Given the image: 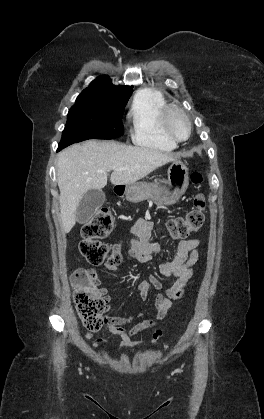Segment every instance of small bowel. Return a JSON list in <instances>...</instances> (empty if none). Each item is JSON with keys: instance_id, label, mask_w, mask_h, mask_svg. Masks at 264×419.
<instances>
[{"instance_id": "c3829d8e", "label": "small bowel", "mask_w": 264, "mask_h": 419, "mask_svg": "<svg viewBox=\"0 0 264 419\" xmlns=\"http://www.w3.org/2000/svg\"><path fill=\"white\" fill-rule=\"evenodd\" d=\"M152 228V221L148 219H139L131 229L132 243L136 244L139 249L136 258L140 262L150 261L155 254L154 249L145 243L152 231ZM200 243L201 240L199 238L180 241L176 246L174 258L169 262L160 264V273L165 277L173 279L172 284L168 288L163 289L161 282L154 275H150L147 280H143L138 284L137 288L143 300L147 299L151 289L159 291L155 299V308L157 312L154 318L142 320L129 330H126L124 326L142 317L143 313L131 316H108L105 318L104 323L106 329L121 337V346L123 348L136 346L138 343L132 341V336L143 330L156 326L158 322L162 321L166 317L172 303L183 297L186 284L194 275L193 266L200 257L197 250ZM107 267L110 270H115L113 267ZM85 271L95 281L100 294L105 298L107 303L110 302L111 296L108 294V290L106 288H99V271L96 268H89ZM114 311L115 309L113 307H108V312L113 313ZM161 335L162 330L157 328L153 333L152 343L155 344ZM92 337V332L86 335L87 339H91ZM96 343L103 345L104 341L97 340Z\"/></svg>"}]
</instances>
